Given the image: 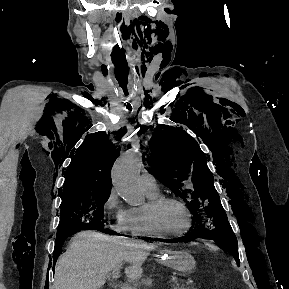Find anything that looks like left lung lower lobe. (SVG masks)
I'll return each instance as SVG.
<instances>
[{
  "mask_svg": "<svg viewBox=\"0 0 289 289\" xmlns=\"http://www.w3.org/2000/svg\"><path fill=\"white\" fill-rule=\"evenodd\" d=\"M192 237H205V238H212L213 239V236L209 233H199L197 231H193V232H190L188 233L186 236L184 237H181L179 239H176V240H170L169 242H189L191 240Z\"/></svg>",
  "mask_w": 289,
  "mask_h": 289,
  "instance_id": "1",
  "label": "left lung lower lobe"
}]
</instances>
